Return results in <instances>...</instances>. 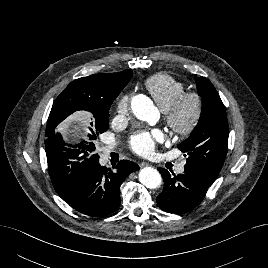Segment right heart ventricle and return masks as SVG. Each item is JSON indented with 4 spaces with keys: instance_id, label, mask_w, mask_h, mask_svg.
I'll return each mask as SVG.
<instances>
[{
    "instance_id": "right-heart-ventricle-1",
    "label": "right heart ventricle",
    "mask_w": 268,
    "mask_h": 268,
    "mask_svg": "<svg viewBox=\"0 0 268 268\" xmlns=\"http://www.w3.org/2000/svg\"><path fill=\"white\" fill-rule=\"evenodd\" d=\"M144 87L162 111H166L185 91L183 83L167 74H156L149 77L145 81Z\"/></svg>"
}]
</instances>
